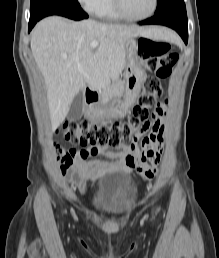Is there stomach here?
<instances>
[{
  "instance_id": "1",
  "label": "stomach",
  "mask_w": 219,
  "mask_h": 258,
  "mask_svg": "<svg viewBox=\"0 0 219 258\" xmlns=\"http://www.w3.org/2000/svg\"><path fill=\"white\" fill-rule=\"evenodd\" d=\"M127 68L123 84L114 93L103 90L98 100L87 104L85 115L92 120L123 118L135 103L145 80V71L139 57V45L135 37L125 42Z\"/></svg>"
}]
</instances>
